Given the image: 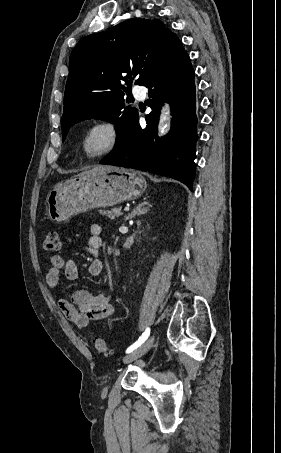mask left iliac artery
I'll use <instances>...</instances> for the list:
<instances>
[{"label": "left iliac artery", "mask_w": 281, "mask_h": 453, "mask_svg": "<svg viewBox=\"0 0 281 453\" xmlns=\"http://www.w3.org/2000/svg\"><path fill=\"white\" fill-rule=\"evenodd\" d=\"M149 335H150V328H146L145 332L142 334V336L139 337L138 341H136L133 345H131L127 349L126 352L130 353V352L134 351L135 349H137L139 346H141L147 340Z\"/></svg>", "instance_id": "1"}]
</instances>
